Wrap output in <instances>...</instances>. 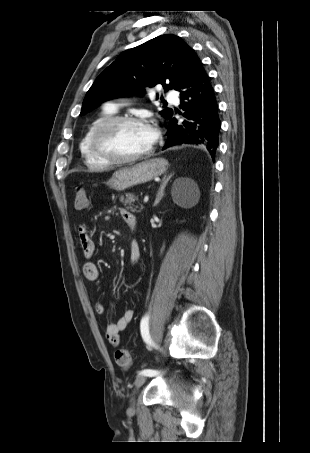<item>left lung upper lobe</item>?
Instances as JSON below:
<instances>
[{
	"mask_svg": "<svg viewBox=\"0 0 310 453\" xmlns=\"http://www.w3.org/2000/svg\"><path fill=\"white\" fill-rule=\"evenodd\" d=\"M194 51L180 37L166 34L122 52L95 80L87 92L81 115L100 102L133 92H142L146 86L162 84L165 90L176 89L187 71ZM163 100V98H161ZM172 109L160 114L171 116Z\"/></svg>",
	"mask_w": 310,
	"mask_h": 453,
	"instance_id": "left-lung-upper-lobe-1",
	"label": "left lung upper lobe"
}]
</instances>
